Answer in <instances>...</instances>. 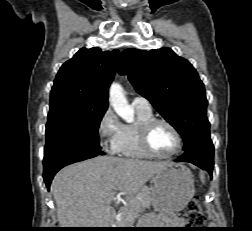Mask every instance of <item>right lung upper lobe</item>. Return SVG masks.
<instances>
[{
	"mask_svg": "<svg viewBox=\"0 0 252 231\" xmlns=\"http://www.w3.org/2000/svg\"><path fill=\"white\" fill-rule=\"evenodd\" d=\"M119 51L82 48L64 63L51 89V101L68 100L87 106L108 107Z\"/></svg>",
	"mask_w": 252,
	"mask_h": 231,
	"instance_id": "obj_1",
	"label": "right lung upper lobe"
}]
</instances>
